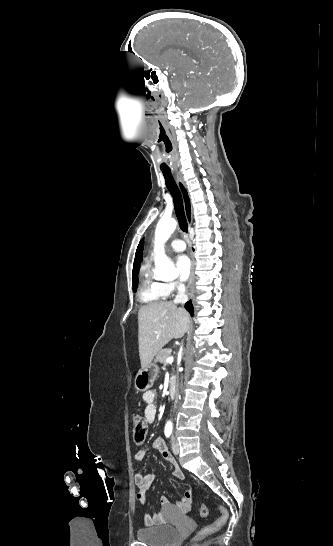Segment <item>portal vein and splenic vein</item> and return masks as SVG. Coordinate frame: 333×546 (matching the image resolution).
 Listing matches in <instances>:
<instances>
[{"mask_svg": "<svg viewBox=\"0 0 333 546\" xmlns=\"http://www.w3.org/2000/svg\"><path fill=\"white\" fill-rule=\"evenodd\" d=\"M173 360H174L173 356H169L166 358V362L170 364L173 363Z\"/></svg>", "mask_w": 333, "mask_h": 546, "instance_id": "18ae733b", "label": "portal vein and splenic vein"}]
</instances>
